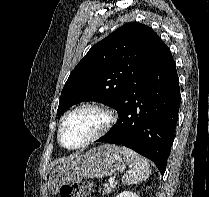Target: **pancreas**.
<instances>
[{
  "mask_svg": "<svg viewBox=\"0 0 209 197\" xmlns=\"http://www.w3.org/2000/svg\"><path fill=\"white\" fill-rule=\"evenodd\" d=\"M116 187V184L113 183V184H107L105 183L103 185V188L100 189V191L103 193V194H109L111 193V191Z\"/></svg>",
  "mask_w": 209,
  "mask_h": 197,
  "instance_id": "pancreas-1",
  "label": "pancreas"
}]
</instances>
